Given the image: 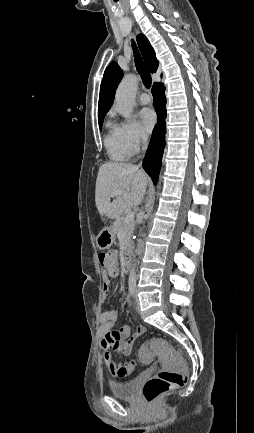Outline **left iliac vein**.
Segmentation results:
<instances>
[{"label":"left iliac vein","instance_id":"4c4485c4","mask_svg":"<svg viewBox=\"0 0 254 433\" xmlns=\"http://www.w3.org/2000/svg\"><path fill=\"white\" fill-rule=\"evenodd\" d=\"M134 300H135V303H136L137 308H138L139 301H138V297H137V293L136 292L134 293Z\"/></svg>","mask_w":254,"mask_h":433}]
</instances>
